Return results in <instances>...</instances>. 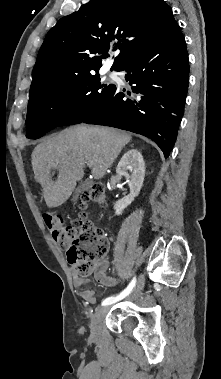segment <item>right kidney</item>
I'll return each instance as SVG.
<instances>
[{
    "label": "right kidney",
    "instance_id": "right-kidney-1",
    "mask_svg": "<svg viewBox=\"0 0 221 379\" xmlns=\"http://www.w3.org/2000/svg\"><path fill=\"white\" fill-rule=\"evenodd\" d=\"M128 171L131 174H128ZM117 174L124 176L130 188V194L118 200L115 205V214H122L123 210L129 206L140 193L145 177V163L142 154L132 149L126 152L116 167Z\"/></svg>",
    "mask_w": 221,
    "mask_h": 379
}]
</instances>
